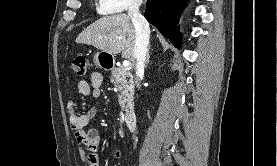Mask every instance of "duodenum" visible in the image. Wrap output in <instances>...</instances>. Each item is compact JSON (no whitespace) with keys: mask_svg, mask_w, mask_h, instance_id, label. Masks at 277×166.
Masks as SVG:
<instances>
[{"mask_svg":"<svg viewBox=\"0 0 277 166\" xmlns=\"http://www.w3.org/2000/svg\"><path fill=\"white\" fill-rule=\"evenodd\" d=\"M124 125L128 130H134L136 125V115L134 111L128 110L124 115Z\"/></svg>","mask_w":277,"mask_h":166,"instance_id":"1","label":"duodenum"}]
</instances>
